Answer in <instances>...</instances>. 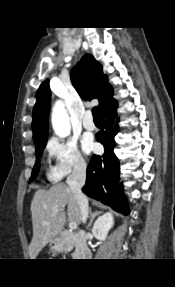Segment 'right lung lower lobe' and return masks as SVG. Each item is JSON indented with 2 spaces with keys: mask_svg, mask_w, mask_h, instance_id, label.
Segmentation results:
<instances>
[{
  "mask_svg": "<svg viewBox=\"0 0 175 287\" xmlns=\"http://www.w3.org/2000/svg\"><path fill=\"white\" fill-rule=\"evenodd\" d=\"M116 108L117 103L100 113L102 128L97 134V140L104 145L105 153L102 156H92L82 191L115 211L127 215L129 208L123 194V185L118 184L119 161L113 152L114 136L118 129Z\"/></svg>",
  "mask_w": 175,
  "mask_h": 287,
  "instance_id": "98d812e1",
  "label": "right lung lower lobe"
}]
</instances>
